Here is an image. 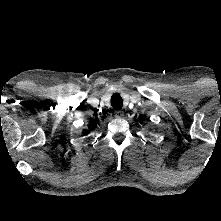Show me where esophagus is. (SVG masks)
Here are the masks:
<instances>
[{
  "instance_id": "obj_1",
  "label": "esophagus",
  "mask_w": 221,
  "mask_h": 221,
  "mask_svg": "<svg viewBox=\"0 0 221 221\" xmlns=\"http://www.w3.org/2000/svg\"><path fill=\"white\" fill-rule=\"evenodd\" d=\"M115 117L123 118L124 117V112L122 110H116L115 111Z\"/></svg>"
}]
</instances>
